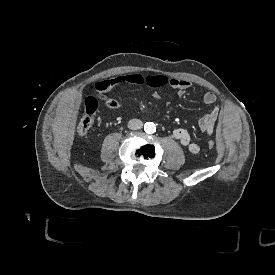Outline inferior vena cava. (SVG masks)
<instances>
[{"label":"inferior vena cava","mask_w":275,"mask_h":275,"mask_svg":"<svg viewBox=\"0 0 275 275\" xmlns=\"http://www.w3.org/2000/svg\"><path fill=\"white\" fill-rule=\"evenodd\" d=\"M143 127V122L140 119H131L128 122V128L131 130H138Z\"/></svg>","instance_id":"inferior-vena-cava-1"}]
</instances>
